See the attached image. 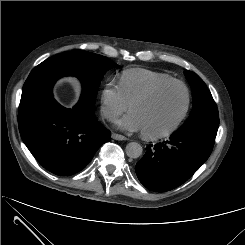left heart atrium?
Returning a JSON list of instances; mask_svg holds the SVG:
<instances>
[{"instance_id":"1","label":"left heart atrium","mask_w":245,"mask_h":245,"mask_svg":"<svg viewBox=\"0 0 245 245\" xmlns=\"http://www.w3.org/2000/svg\"><path fill=\"white\" fill-rule=\"evenodd\" d=\"M117 125L120 129L127 131H142V125L138 117L132 112H130L128 115L119 120L117 122Z\"/></svg>"}]
</instances>
